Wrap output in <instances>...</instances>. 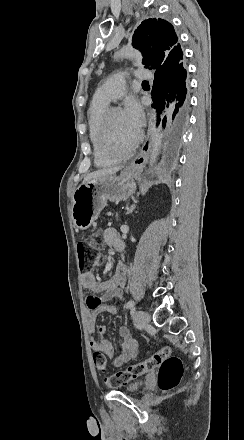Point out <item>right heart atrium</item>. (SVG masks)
<instances>
[{"label": "right heart atrium", "instance_id": "1", "mask_svg": "<svg viewBox=\"0 0 244 440\" xmlns=\"http://www.w3.org/2000/svg\"><path fill=\"white\" fill-rule=\"evenodd\" d=\"M137 136L131 135V139H135Z\"/></svg>", "mask_w": 244, "mask_h": 440}]
</instances>
